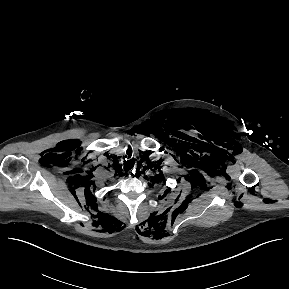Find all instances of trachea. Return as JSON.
Here are the masks:
<instances>
[{
  "mask_svg": "<svg viewBox=\"0 0 289 289\" xmlns=\"http://www.w3.org/2000/svg\"><path fill=\"white\" fill-rule=\"evenodd\" d=\"M128 155H129V153H128ZM133 166H134V163L133 162H131V163H128L127 165H126V167H125V170H131L132 168H133Z\"/></svg>",
  "mask_w": 289,
  "mask_h": 289,
  "instance_id": "1",
  "label": "trachea"
}]
</instances>
